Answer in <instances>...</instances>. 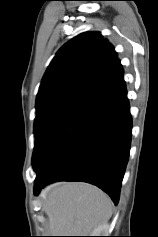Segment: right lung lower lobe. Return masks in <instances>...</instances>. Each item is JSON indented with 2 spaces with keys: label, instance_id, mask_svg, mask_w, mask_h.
<instances>
[{
  "label": "right lung lower lobe",
  "instance_id": "obj_1",
  "mask_svg": "<svg viewBox=\"0 0 158 237\" xmlns=\"http://www.w3.org/2000/svg\"><path fill=\"white\" fill-rule=\"evenodd\" d=\"M132 120L123 76L71 112L33 156L35 194L59 180L94 184L115 205L129 158Z\"/></svg>",
  "mask_w": 158,
  "mask_h": 237
}]
</instances>
